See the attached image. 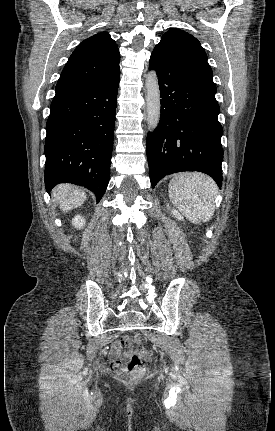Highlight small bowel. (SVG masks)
Here are the masks:
<instances>
[{
    "label": "small bowel",
    "instance_id": "c3829d8e",
    "mask_svg": "<svg viewBox=\"0 0 275 431\" xmlns=\"http://www.w3.org/2000/svg\"><path fill=\"white\" fill-rule=\"evenodd\" d=\"M126 346V350L123 354H121L122 346ZM129 350L130 344H125L123 340H117L113 343L112 348L110 350V358L112 360V364L114 367L120 368L129 358Z\"/></svg>",
    "mask_w": 275,
    "mask_h": 431
}]
</instances>
